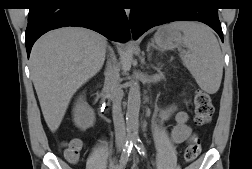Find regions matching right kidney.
I'll use <instances>...</instances> for the list:
<instances>
[{"instance_id":"obj_1","label":"right kidney","mask_w":252,"mask_h":169,"mask_svg":"<svg viewBox=\"0 0 252 169\" xmlns=\"http://www.w3.org/2000/svg\"><path fill=\"white\" fill-rule=\"evenodd\" d=\"M73 116L75 125L82 130L91 127L95 122L94 111L87 105L83 96L77 100Z\"/></svg>"}]
</instances>
